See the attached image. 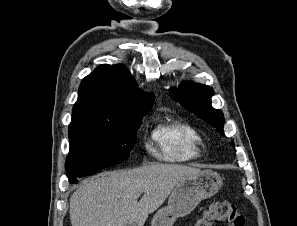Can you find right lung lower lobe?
Listing matches in <instances>:
<instances>
[{
  "instance_id": "obj_1",
  "label": "right lung lower lobe",
  "mask_w": 297,
  "mask_h": 226,
  "mask_svg": "<svg viewBox=\"0 0 297 226\" xmlns=\"http://www.w3.org/2000/svg\"><path fill=\"white\" fill-rule=\"evenodd\" d=\"M70 183L74 184V183H77V182H70Z\"/></svg>"
}]
</instances>
